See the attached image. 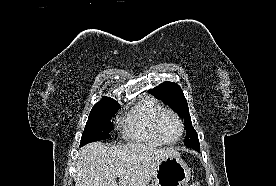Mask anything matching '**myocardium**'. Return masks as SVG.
<instances>
[{
  "label": "myocardium",
  "mask_w": 276,
  "mask_h": 186,
  "mask_svg": "<svg viewBox=\"0 0 276 186\" xmlns=\"http://www.w3.org/2000/svg\"><path fill=\"white\" fill-rule=\"evenodd\" d=\"M165 115H171L173 116L179 127H180V134L178 136L177 139L173 140V141H170L168 140L164 134L162 133L161 131V127H160V122H161V119L165 116ZM154 130H155V133L156 135L165 143V144H176L178 141H180V139L182 138L183 134H184V131H185V128H184V124H183V121L181 119V117L172 109H167V108H163L155 117V120H154Z\"/></svg>",
  "instance_id": "obj_1"
}]
</instances>
